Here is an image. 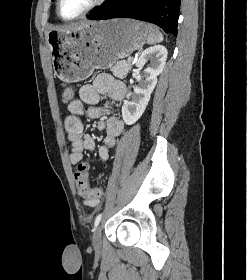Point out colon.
Instances as JSON below:
<instances>
[{"label": "colon", "instance_id": "obj_1", "mask_svg": "<svg viewBox=\"0 0 247 280\" xmlns=\"http://www.w3.org/2000/svg\"><path fill=\"white\" fill-rule=\"evenodd\" d=\"M74 92L69 86H63L61 90V99L63 103H71L73 101ZM88 170L87 163H81L75 172V180L79 194L87 200L99 199L103 194L101 186H90L88 183Z\"/></svg>", "mask_w": 247, "mask_h": 280}]
</instances>
